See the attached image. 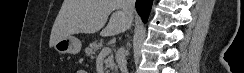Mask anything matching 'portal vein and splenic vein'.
I'll list each match as a JSON object with an SVG mask.
<instances>
[{"instance_id": "portal-vein-and-splenic-vein-1", "label": "portal vein and splenic vein", "mask_w": 244, "mask_h": 73, "mask_svg": "<svg viewBox=\"0 0 244 73\" xmlns=\"http://www.w3.org/2000/svg\"><path fill=\"white\" fill-rule=\"evenodd\" d=\"M110 51H111L110 48H108V47H104V48L101 50L100 55H102V56H106Z\"/></svg>"}]
</instances>
